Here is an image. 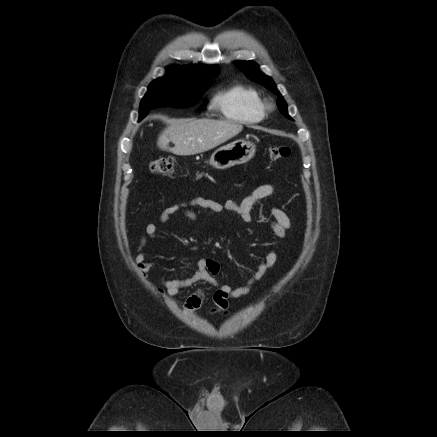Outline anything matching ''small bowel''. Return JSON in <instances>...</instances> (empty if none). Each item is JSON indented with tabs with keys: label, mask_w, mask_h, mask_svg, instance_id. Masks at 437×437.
Segmentation results:
<instances>
[{
	"label": "small bowel",
	"mask_w": 437,
	"mask_h": 437,
	"mask_svg": "<svg viewBox=\"0 0 437 437\" xmlns=\"http://www.w3.org/2000/svg\"><path fill=\"white\" fill-rule=\"evenodd\" d=\"M275 192V186L272 184L260 185L254 189L248 196L242 201L227 200L225 203H219L217 201L206 199L203 197H195L188 201L175 203L166 207L161 215L160 222L166 223L170 217L178 212H182L191 220L197 218L196 213L192 210L193 207H200L208 209L216 213H220L224 210H229L237 213L244 222L251 223L253 221L252 209L253 206L260 200L270 197ZM270 214L273 221L270 223V228L275 236L284 238L286 232L291 227V222L288 215L279 208H272ZM158 227L155 223H148L144 230V235L141 237L139 246L137 248V254L135 261L144 274H147L153 264L146 261V253L144 247L147 239H154L157 235ZM278 260V255L274 250L269 251L265 258L258 264L257 270L249 277L246 283L242 286L231 288L227 284H220L217 280L219 274V264L217 261L202 258L198 262V267L195 273L188 278L183 279H161V283L165 292L169 297L176 296L181 290L189 288L198 282H205L214 287L216 290L213 294V302L215 307L212 309L213 313L225 312L229 305L231 298H238L247 294L255 282L262 279L266 272L272 268ZM205 298V294L201 289H197L192 292L185 301V309L189 312L198 310Z\"/></svg>",
	"instance_id": "obj_1"
}]
</instances>
